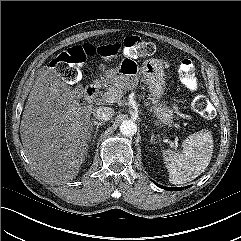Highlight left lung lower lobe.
<instances>
[{
	"mask_svg": "<svg viewBox=\"0 0 241 241\" xmlns=\"http://www.w3.org/2000/svg\"><path fill=\"white\" fill-rule=\"evenodd\" d=\"M165 190H169V191H178V190H182L183 188H168V187H164V186H159ZM187 188V187H185Z\"/></svg>",
	"mask_w": 241,
	"mask_h": 241,
	"instance_id": "left-lung-lower-lobe-1",
	"label": "left lung lower lobe"
}]
</instances>
